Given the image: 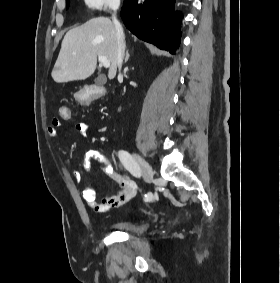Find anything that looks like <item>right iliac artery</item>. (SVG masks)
Segmentation results:
<instances>
[{
  "label": "right iliac artery",
  "mask_w": 280,
  "mask_h": 283,
  "mask_svg": "<svg viewBox=\"0 0 280 283\" xmlns=\"http://www.w3.org/2000/svg\"><path fill=\"white\" fill-rule=\"evenodd\" d=\"M119 159L123 166L135 177H141V170L136 160L132 157V155L124 150H120L118 153ZM152 198L151 193L145 194L144 201L149 202Z\"/></svg>",
  "instance_id": "82829eb1"
}]
</instances>
